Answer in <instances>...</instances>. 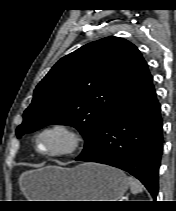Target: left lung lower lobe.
Returning <instances> with one entry per match:
<instances>
[{
	"instance_id": "0a47b994",
	"label": "left lung lower lobe",
	"mask_w": 176,
	"mask_h": 211,
	"mask_svg": "<svg viewBox=\"0 0 176 211\" xmlns=\"http://www.w3.org/2000/svg\"><path fill=\"white\" fill-rule=\"evenodd\" d=\"M154 86L132 97L106 120L92 146L76 160L98 162L129 172L155 199L163 133Z\"/></svg>"
}]
</instances>
